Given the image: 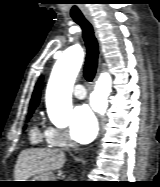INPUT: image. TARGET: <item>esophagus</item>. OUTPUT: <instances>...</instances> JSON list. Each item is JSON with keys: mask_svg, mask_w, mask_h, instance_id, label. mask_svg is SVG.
Instances as JSON below:
<instances>
[{"mask_svg": "<svg viewBox=\"0 0 160 187\" xmlns=\"http://www.w3.org/2000/svg\"><path fill=\"white\" fill-rule=\"evenodd\" d=\"M86 19L94 26L95 28V22H94V19L90 16V15H87L86 16Z\"/></svg>", "mask_w": 160, "mask_h": 187, "instance_id": "34e87169", "label": "esophagus"}]
</instances>
